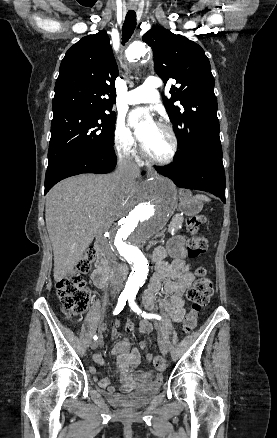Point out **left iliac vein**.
I'll return each mask as SVG.
<instances>
[{"instance_id":"1","label":"left iliac vein","mask_w":277,"mask_h":438,"mask_svg":"<svg viewBox=\"0 0 277 438\" xmlns=\"http://www.w3.org/2000/svg\"><path fill=\"white\" fill-rule=\"evenodd\" d=\"M160 348H161L162 354L166 355L168 352V346H167L166 341H164V340L161 341Z\"/></svg>"}]
</instances>
